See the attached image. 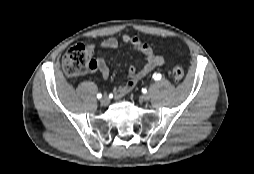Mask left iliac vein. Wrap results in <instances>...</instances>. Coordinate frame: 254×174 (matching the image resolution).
I'll list each match as a JSON object with an SVG mask.
<instances>
[{
	"label": "left iliac vein",
	"mask_w": 254,
	"mask_h": 174,
	"mask_svg": "<svg viewBox=\"0 0 254 174\" xmlns=\"http://www.w3.org/2000/svg\"><path fill=\"white\" fill-rule=\"evenodd\" d=\"M141 98H142L143 101L147 102V101L150 100V95L149 94H144Z\"/></svg>",
	"instance_id": "4c4485c4"
}]
</instances>
